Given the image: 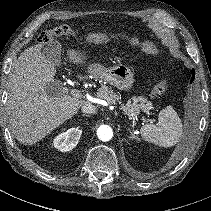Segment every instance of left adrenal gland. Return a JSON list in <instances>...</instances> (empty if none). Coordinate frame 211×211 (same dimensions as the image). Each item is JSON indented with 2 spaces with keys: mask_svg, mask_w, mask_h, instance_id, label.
Returning <instances> with one entry per match:
<instances>
[{
  "mask_svg": "<svg viewBox=\"0 0 211 211\" xmlns=\"http://www.w3.org/2000/svg\"><path fill=\"white\" fill-rule=\"evenodd\" d=\"M128 130L130 131V129H128ZM130 133H131V136L129 138L137 139L138 140V138L131 131H130Z\"/></svg>",
  "mask_w": 211,
  "mask_h": 211,
  "instance_id": "a2214340",
  "label": "left adrenal gland"
}]
</instances>
